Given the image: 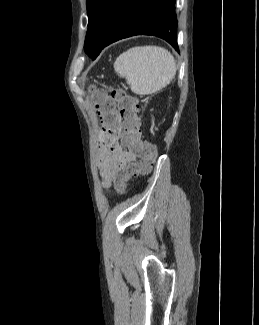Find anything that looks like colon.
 <instances>
[{
  "mask_svg": "<svg viewBox=\"0 0 259 325\" xmlns=\"http://www.w3.org/2000/svg\"><path fill=\"white\" fill-rule=\"evenodd\" d=\"M92 99L104 130L112 133L122 125L123 144L139 158L136 163L119 170L114 176V188L118 194H122L131 177L150 172L156 161L157 151L153 144L141 138L139 103L136 97L124 89L109 87L106 90L93 89Z\"/></svg>",
  "mask_w": 259,
  "mask_h": 325,
  "instance_id": "colon-1",
  "label": "colon"
}]
</instances>
